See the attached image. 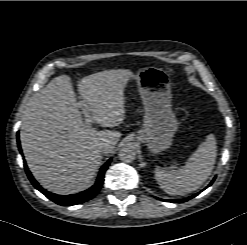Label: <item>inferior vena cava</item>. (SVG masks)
Wrapping results in <instances>:
<instances>
[{
	"mask_svg": "<svg viewBox=\"0 0 247 245\" xmlns=\"http://www.w3.org/2000/svg\"><path fill=\"white\" fill-rule=\"evenodd\" d=\"M99 150L101 152H110L112 150V143L111 142H103L99 145Z\"/></svg>",
	"mask_w": 247,
	"mask_h": 245,
	"instance_id": "inferior-vena-cava-1",
	"label": "inferior vena cava"
}]
</instances>
